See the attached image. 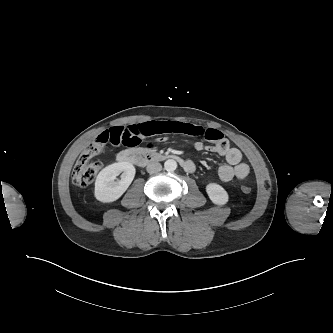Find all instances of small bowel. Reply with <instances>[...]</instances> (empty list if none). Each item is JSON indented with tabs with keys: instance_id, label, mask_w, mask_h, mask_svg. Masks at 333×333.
Here are the masks:
<instances>
[{
	"instance_id": "small-bowel-1",
	"label": "small bowel",
	"mask_w": 333,
	"mask_h": 333,
	"mask_svg": "<svg viewBox=\"0 0 333 333\" xmlns=\"http://www.w3.org/2000/svg\"><path fill=\"white\" fill-rule=\"evenodd\" d=\"M165 134H182L186 136H204L209 144L195 141L194 148L197 151L206 150L225 158L226 164L218 168V176L222 181H230L234 178L245 179L250 172L248 164L242 162V154L239 149L231 147L224 135L216 129H204L200 126L180 121H148L128 126L113 127L102 132L97 140L109 142L115 146L136 147L141 141L150 136ZM163 141V137L158 138ZM188 172H194L196 166L192 160H186Z\"/></svg>"
}]
</instances>
